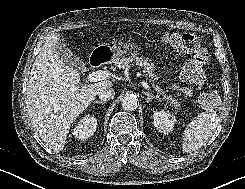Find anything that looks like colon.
Here are the masks:
<instances>
[{"label": "colon", "mask_w": 245, "mask_h": 189, "mask_svg": "<svg viewBox=\"0 0 245 189\" xmlns=\"http://www.w3.org/2000/svg\"><path fill=\"white\" fill-rule=\"evenodd\" d=\"M163 42L177 51L193 55V58L185 62L182 67L180 75L184 82L198 84L204 80L209 54L196 35L168 33L163 37ZM220 103V94L216 88L208 90L199 97V104L207 109L217 108Z\"/></svg>", "instance_id": "colon-1"}]
</instances>
